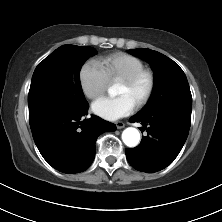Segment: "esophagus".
I'll return each instance as SVG.
<instances>
[{
	"instance_id": "34e87169",
	"label": "esophagus",
	"mask_w": 222,
	"mask_h": 222,
	"mask_svg": "<svg viewBox=\"0 0 222 222\" xmlns=\"http://www.w3.org/2000/svg\"><path fill=\"white\" fill-rule=\"evenodd\" d=\"M115 124L118 129H122L125 127V124L122 121H117Z\"/></svg>"
}]
</instances>
